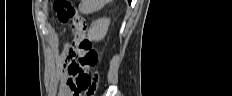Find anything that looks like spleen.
<instances>
[{
  "label": "spleen",
  "mask_w": 232,
  "mask_h": 96,
  "mask_svg": "<svg viewBox=\"0 0 232 96\" xmlns=\"http://www.w3.org/2000/svg\"><path fill=\"white\" fill-rule=\"evenodd\" d=\"M107 2V0H82L79 4V11L88 15L102 9Z\"/></svg>",
  "instance_id": "1"
}]
</instances>
